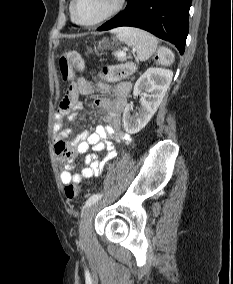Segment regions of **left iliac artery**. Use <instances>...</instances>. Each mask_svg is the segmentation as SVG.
Listing matches in <instances>:
<instances>
[{"mask_svg": "<svg viewBox=\"0 0 233 284\" xmlns=\"http://www.w3.org/2000/svg\"><path fill=\"white\" fill-rule=\"evenodd\" d=\"M102 197V194L100 193H97V194H94L92 195L85 203V207H89L91 206L92 204L96 203L99 199H101Z\"/></svg>", "mask_w": 233, "mask_h": 284, "instance_id": "obj_1", "label": "left iliac artery"}]
</instances>
